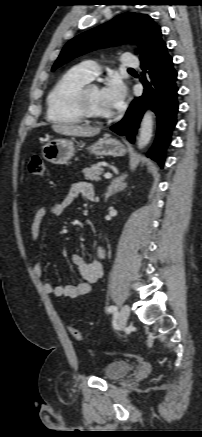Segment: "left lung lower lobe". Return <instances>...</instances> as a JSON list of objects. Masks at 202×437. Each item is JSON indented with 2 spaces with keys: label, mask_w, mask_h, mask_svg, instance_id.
Instances as JSON below:
<instances>
[{
  "label": "left lung lower lobe",
  "mask_w": 202,
  "mask_h": 437,
  "mask_svg": "<svg viewBox=\"0 0 202 437\" xmlns=\"http://www.w3.org/2000/svg\"><path fill=\"white\" fill-rule=\"evenodd\" d=\"M141 68L144 71L140 79L144 86L143 95L132 101L124 118L110 129L121 136L126 135L133 142L144 112L147 109L154 111L157 116V135L147 155L163 167L165 150L176 125L179 90L176 84L177 71L166 43L150 58L141 61Z\"/></svg>",
  "instance_id": "1"
}]
</instances>
